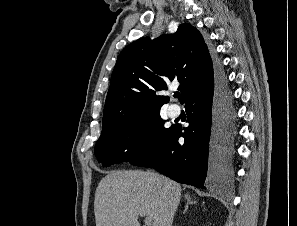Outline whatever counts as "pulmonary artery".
Returning a JSON list of instances; mask_svg holds the SVG:
<instances>
[{"label": "pulmonary artery", "mask_w": 297, "mask_h": 226, "mask_svg": "<svg viewBox=\"0 0 297 226\" xmlns=\"http://www.w3.org/2000/svg\"><path fill=\"white\" fill-rule=\"evenodd\" d=\"M168 113L172 118H176L181 114V108L177 104H171L168 108Z\"/></svg>", "instance_id": "pulmonary-artery-1"}]
</instances>
